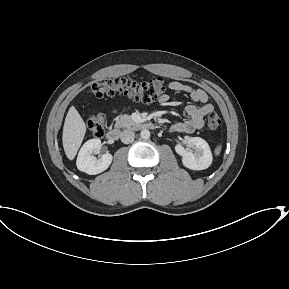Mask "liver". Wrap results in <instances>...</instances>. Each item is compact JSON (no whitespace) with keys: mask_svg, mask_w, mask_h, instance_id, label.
I'll return each mask as SVG.
<instances>
[{"mask_svg":"<svg viewBox=\"0 0 289 289\" xmlns=\"http://www.w3.org/2000/svg\"><path fill=\"white\" fill-rule=\"evenodd\" d=\"M86 133V125L74 106H71L63 127V148L69 160H73Z\"/></svg>","mask_w":289,"mask_h":289,"instance_id":"liver-1","label":"liver"}]
</instances>
